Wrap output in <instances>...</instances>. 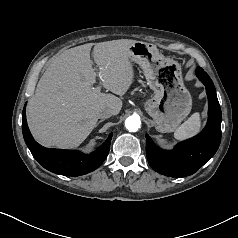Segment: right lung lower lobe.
<instances>
[{
  "instance_id": "right-lung-lower-lobe-1",
  "label": "right lung lower lobe",
  "mask_w": 238,
  "mask_h": 238,
  "mask_svg": "<svg viewBox=\"0 0 238 238\" xmlns=\"http://www.w3.org/2000/svg\"><path fill=\"white\" fill-rule=\"evenodd\" d=\"M22 131L26 145L34 158L47 170L65 176H79L97 169L108 155L112 133L105 143L91 154L73 150L45 148L32 137L26 121L25 107L22 112Z\"/></svg>"
}]
</instances>
